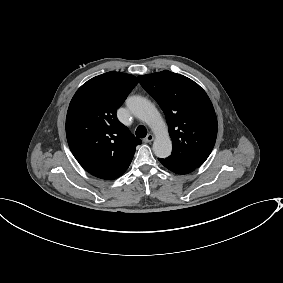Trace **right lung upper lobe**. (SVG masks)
<instances>
[{
  "label": "right lung upper lobe",
  "mask_w": 283,
  "mask_h": 283,
  "mask_svg": "<svg viewBox=\"0 0 283 283\" xmlns=\"http://www.w3.org/2000/svg\"><path fill=\"white\" fill-rule=\"evenodd\" d=\"M137 83L133 75L107 72L84 83L70 102L67 141L80 165L95 177L112 180L121 176L141 144L116 117Z\"/></svg>",
  "instance_id": "obj_1"
}]
</instances>
